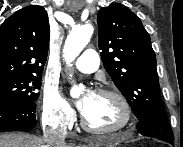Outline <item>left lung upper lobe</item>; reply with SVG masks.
I'll return each mask as SVG.
<instances>
[{
  "label": "left lung upper lobe",
  "instance_id": "1",
  "mask_svg": "<svg viewBox=\"0 0 183 147\" xmlns=\"http://www.w3.org/2000/svg\"><path fill=\"white\" fill-rule=\"evenodd\" d=\"M98 43L105 70L138 120L167 118L161 100L156 56L140 19L120 3L98 12Z\"/></svg>",
  "mask_w": 183,
  "mask_h": 147
}]
</instances>
